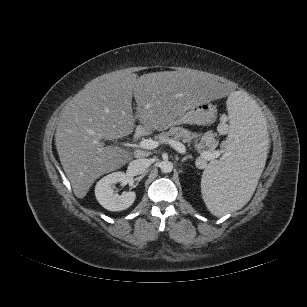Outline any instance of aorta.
<instances>
[{"label": "aorta", "mask_w": 307, "mask_h": 307, "mask_svg": "<svg viewBox=\"0 0 307 307\" xmlns=\"http://www.w3.org/2000/svg\"><path fill=\"white\" fill-rule=\"evenodd\" d=\"M160 169L163 173H170L173 170V163L169 160H164L160 163Z\"/></svg>", "instance_id": "762f6f07"}]
</instances>
